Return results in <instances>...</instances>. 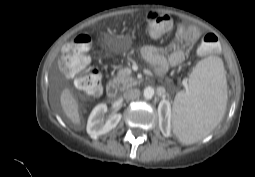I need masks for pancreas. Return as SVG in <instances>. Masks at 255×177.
I'll use <instances>...</instances> for the list:
<instances>
[{
    "label": "pancreas",
    "mask_w": 255,
    "mask_h": 177,
    "mask_svg": "<svg viewBox=\"0 0 255 177\" xmlns=\"http://www.w3.org/2000/svg\"><path fill=\"white\" fill-rule=\"evenodd\" d=\"M112 83L116 88L123 91L137 85L138 81L131 76L129 68H120Z\"/></svg>",
    "instance_id": "1"
}]
</instances>
